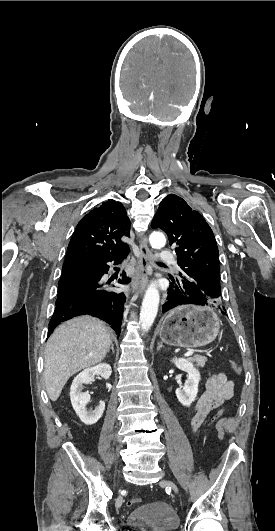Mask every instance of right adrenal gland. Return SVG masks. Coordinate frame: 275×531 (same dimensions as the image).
I'll use <instances>...</instances> for the list:
<instances>
[{
  "mask_svg": "<svg viewBox=\"0 0 275 531\" xmlns=\"http://www.w3.org/2000/svg\"><path fill=\"white\" fill-rule=\"evenodd\" d=\"M110 349H111L112 353H115L113 341H111V343H110ZM110 349H109L108 353H110Z\"/></svg>",
  "mask_w": 275,
  "mask_h": 531,
  "instance_id": "2a0ac1e0",
  "label": "right adrenal gland"
}]
</instances>
